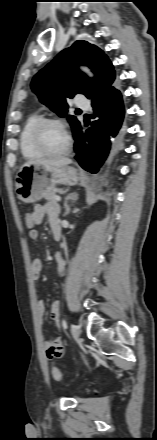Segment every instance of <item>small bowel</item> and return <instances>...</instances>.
<instances>
[{"label": "small bowel", "instance_id": "1", "mask_svg": "<svg viewBox=\"0 0 157 440\" xmlns=\"http://www.w3.org/2000/svg\"><path fill=\"white\" fill-rule=\"evenodd\" d=\"M32 213H33L34 219L36 221V226L40 225L43 222L45 216L48 217V222H49V226L51 229H53V227H55V226H60L59 225V206L57 203H55L53 201H49L45 204L36 205L34 207V210ZM29 237L32 240H37L39 238L38 230H36V229L30 230ZM56 259H57V262L59 265V270H60V272H62L64 269L63 258L60 254H57ZM41 271H42V261L39 258H35L31 264L32 277L35 280L38 279ZM37 313H38V318H39L40 323H43L44 318H45V314H46V307H45L42 300L38 301ZM60 313H61V302L54 301L51 305L50 314H51V318L54 320V322L56 323L57 326L60 325ZM56 345L63 347L62 338L60 336L56 337L53 340L45 341L44 346L46 348V353H47L48 358H50V359L53 358L50 355V350ZM63 350H64V348H63Z\"/></svg>", "mask_w": 157, "mask_h": 440}]
</instances>
